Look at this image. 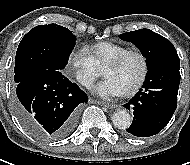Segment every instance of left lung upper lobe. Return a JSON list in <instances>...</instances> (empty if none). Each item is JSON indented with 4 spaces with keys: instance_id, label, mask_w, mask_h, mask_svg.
Listing matches in <instances>:
<instances>
[{
    "instance_id": "obj_1",
    "label": "left lung upper lobe",
    "mask_w": 190,
    "mask_h": 165,
    "mask_svg": "<svg viewBox=\"0 0 190 165\" xmlns=\"http://www.w3.org/2000/svg\"><path fill=\"white\" fill-rule=\"evenodd\" d=\"M119 37L122 40L132 42L139 48L146 58L148 69L160 62L179 58L175 47L168 39L149 29L123 33Z\"/></svg>"
}]
</instances>
